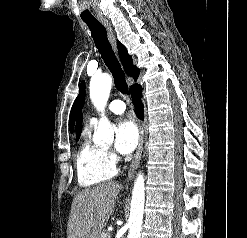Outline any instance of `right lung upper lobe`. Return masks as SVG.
Returning a JSON list of instances; mask_svg holds the SVG:
<instances>
[{
    "mask_svg": "<svg viewBox=\"0 0 247 238\" xmlns=\"http://www.w3.org/2000/svg\"><path fill=\"white\" fill-rule=\"evenodd\" d=\"M117 46L119 50V57L126 73L132 76L136 80L139 76L140 70L137 67L133 66L132 57L127 53L126 48L120 42H117ZM135 85L137 84H134L133 86H131V88H133ZM81 125H82V115H80L77 120V127H76L77 140L79 139L81 133L80 132Z\"/></svg>",
    "mask_w": 247,
    "mask_h": 238,
    "instance_id": "right-lung-upper-lobe-1",
    "label": "right lung upper lobe"
}]
</instances>
